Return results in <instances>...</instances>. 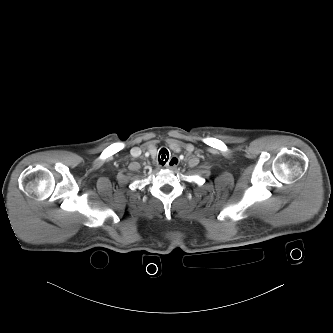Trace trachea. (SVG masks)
<instances>
[{"instance_id": "1", "label": "trachea", "mask_w": 333, "mask_h": 333, "mask_svg": "<svg viewBox=\"0 0 333 333\" xmlns=\"http://www.w3.org/2000/svg\"><path fill=\"white\" fill-rule=\"evenodd\" d=\"M168 158H169L168 150L166 148H162L159 152V158H158L159 164L163 166L167 162Z\"/></svg>"}]
</instances>
